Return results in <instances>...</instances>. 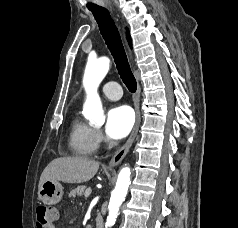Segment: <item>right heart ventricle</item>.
<instances>
[{"mask_svg": "<svg viewBox=\"0 0 238 228\" xmlns=\"http://www.w3.org/2000/svg\"><path fill=\"white\" fill-rule=\"evenodd\" d=\"M94 129L79 115H74L70 122L69 148L78 156H91L97 150Z\"/></svg>", "mask_w": 238, "mask_h": 228, "instance_id": "e07e8e85", "label": "right heart ventricle"}]
</instances>
